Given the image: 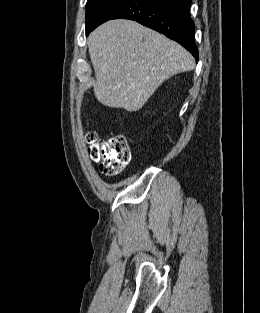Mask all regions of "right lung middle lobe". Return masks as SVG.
I'll list each match as a JSON object with an SVG mask.
<instances>
[{"label": "right lung middle lobe", "instance_id": "dd1d6c3e", "mask_svg": "<svg viewBox=\"0 0 260 313\" xmlns=\"http://www.w3.org/2000/svg\"><path fill=\"white\" fill-rule=\"evenodd\" d=\"M117 0H88L86 5V35L95 27L103 14Z\"/></svg>", "mask_w": 260, "mask_h": 313}]
</instances>
